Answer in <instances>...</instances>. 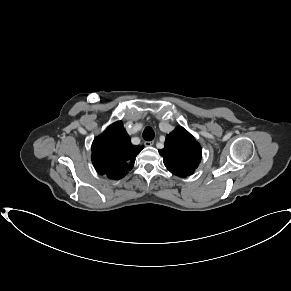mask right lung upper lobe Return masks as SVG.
I'll return each instance as SVG.
<instances>
[{
	"label": "right lung upper lobe",
	"instance_id": "right-lung-upper-lobe-1",
	"mask_svg": "<svg viewBox=\"0 0 291 291\" xmlns=\"http://www.w3.org/2000/svg\"><path fill=\"white\" fill-rule=\"evenodd\" d=\"M143 146H134L121 121L110 125L92 144V163L100 175L121 179L133 168Z\"/></svg>",
	"mask_w": 291,
	"mask_h": 291
}]
</instances>
